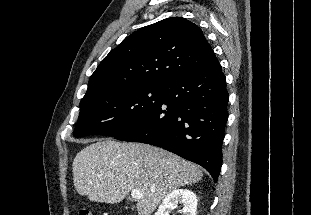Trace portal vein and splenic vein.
Masks as SVG:
<instances>
[{"instance_id":"18ae733b","label":"portal vein and splenic vein","mask_w":311,"mask_h":215,"mask_svg":"<svg viewBox=\"0 0 311 215\" xmlns=\"http://www.w3.org/2000/svg\"><path fill=\"white\" fill-rule=\"evenodd\" d=\"M131 197L134 198V199H141L143 198V194L140 190L138 189H133L131 191Z\"/></svg>"}]
</instances>
